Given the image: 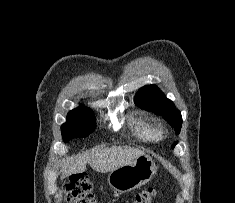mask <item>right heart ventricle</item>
Returning <instances> with one entry per match:
<instances>
[{
  "instance_id": "e07e8e85",
  "label": "right heart ventricle",
  "mask_w": 235,
  "mask_h": 203,
  "mask_svg": "<svg viewBox=\"0 0 235 203\" xmlns=\"http://www.w3.org/2000/svg\"><path fill=\"white\" fill-rule=\"evenodd\" d=\"M132 125L135 135L142 141H157L163 136L158 124L147 117L136 118Z\"/></svg>"
}]
</instances>
